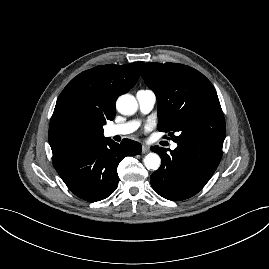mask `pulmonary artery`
Wrapping results in <instances>:
<instances>
[{
    "mask_svg": "<svg viewBox=\"0 0 269 269\" xmlns=\"http://www.w3.org/2000/svg\"><path fill=\"white\" fill-rule=\"evenodd\" d=\"M136 98L138 101L139 109L142 113H149L156 103V95L153 91L145 89L139 90L136 94ZM138 127V122L129 121L126 123H121L117 125H112L107 128L106 134L108 136H117V135H127L135 131ZM177 144L175 142L171 143V149H176Z\"/></svg>",
    "mask_w": 269,
    "mask_h": 269,
    "instance_id": "1",
    "label": "pulmonary artery"
}]
</instances>
